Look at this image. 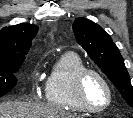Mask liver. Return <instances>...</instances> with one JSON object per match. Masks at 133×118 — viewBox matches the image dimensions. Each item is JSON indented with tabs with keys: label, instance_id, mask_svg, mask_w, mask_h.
Here are the masks:
<instances>
[{
	"label": "liver",
	"instance_id": "1",
	"mask_svg": "<svg viewBox=\"0 0 133 118\" xmlns=\"http://www.w3.org/2000/svg\"><path fill=\"white\" fill-rule=\"evenodd\" d=\"M0 118H80V116L49 105L7 101L0 103Z\"/></svg>",
	"mask_w": 133,
	"mask_h": 118
}]
</instances>
